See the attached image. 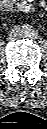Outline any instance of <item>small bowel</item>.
Returning <instances> with one entry per match:
<instances>
[{
    "label": "small bowel",
    "instance_id": "small-bowel-1",
    "mask_svg": "<svg viewBox=\"0 0 47 129\" xmlns=\"http://www.w3.org/2000/svg\"><path fill=\"white\" fill-rule=\"evenodd\" d=\"M34 0H2L1 7L4 10H12L16 8L18 11L25 13H33L36 10L35 5L32 3ZM41 6L45 5V0H39Z\"/></svg>",
    "mask_w": 47,
    "mask_h": 129
}]
</instances>
